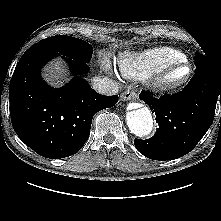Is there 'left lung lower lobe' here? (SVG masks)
<instances>
[{"mask_svg": "<svg viewBox=\"0 0 221 221\" xmlns=\"http://www.w3.org/2000/svg\"><path fill=\"white\" fill-rule=\"evenodd\" d=\"M140 99L155 112L159 125L153 137L135 139L136 149L153 160H173L189 153L210 128L216 103H221V70L194 74L181 92L153 98L143 91Z\"/></svg>", "mask_w": 221, "mask_h": 221, "instance_id": "left-lung-lower-lobe-1", "label": "left lung lower lobe"}]
</instances>
